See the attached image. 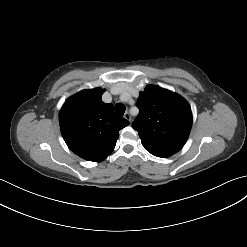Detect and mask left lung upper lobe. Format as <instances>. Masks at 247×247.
Returning <instances> with one entry per match:
<instances>
[{
  "label": "left lung upper lobe",
  "mask_w": 247,
  "mask_h": 247,
  "mask_svg": "<svg viewBox=\"0 0 247 247\" xmlns=\"http://www.w3.org/2000/svg\"><path fill=\"white\" fill-rule=\"evenodd\" d=\"M139 115L132 127L144 148L169 157L184 146L192 127V112L180 95L156 85H148L137 100Z\"/></svg>",
  "instance_id": "left-lung-upper-lobe-1"
}]
</instances>
